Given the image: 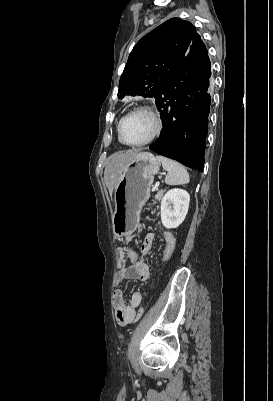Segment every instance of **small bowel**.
<instances>
[{
  "mask_svg": "<svg viewBox=\"0 0 273 401\" xmlns=\"http://www.w3.org/2000/svg\"><path fill=\"white\" fill-rule=\"evenodd\" d=\"M164 239L166 242L165 255L168 249L173 251L175 246V239L171 232H165ZM154 234L149 233L146 235L142 243L141 250L144 254L148 253L154 245ZM118 255V271L115 276V284L119 285L124 280H137L139 271H150L148 265L140 259L137 251L120 247L117 251ZM128 262L129 265L124 264ZM143 299L141 291H135L130 298L129 303L124 300L123 291L117 288L113 294V303L115 308V315L117 322L120 325H126L138 321L143 313L140 308Z\"/></svg>",
  "mask_w": 273,
  "mask_h": 401,
  "instance_id": "small-bowel-1",
  "label": "small bowel"
}]
</instances>
